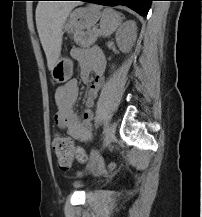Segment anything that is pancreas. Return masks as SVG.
Returning <instances> with one entry per match:
<instances>
[{
	"label": "pancreas",
	"instance_id": "obj_1",
	"mask_svg": "<svg viewBox=\"0 0 202 217\" xmlns=\"http://www.w3.org/2000/svg\"><path fill=\"white\" fill-rule=\"evenodd\" d=\"M99 36V32L96 30L88 32H76L73 36V40L76 44L82 47H89L93 45Z\"/></svg>",
	"mask_w": 202,
	"mask_h": 217
}]
</instances>
